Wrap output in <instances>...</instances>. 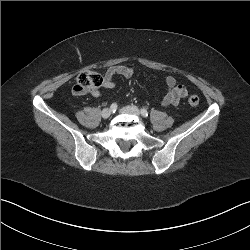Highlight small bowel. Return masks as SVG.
<instances>
[{
    "instance_id": "c3829d8e",
    "label": "small bowel",
    "mask_w": 250,
    "mask_h": 250,
    "mask_svg": "<svg viewBox=\"0 0 250 250\" xmlns=\"http://www.w3.org/2000/svg\"><path fill=\"white\" fill-rule=\"evenodd\" d=\"M134 74L133 68L126 65H114L107 69L104 74L102 87L105 89H112L115 87L114 77L123 76L125 78H131ZM165 84L168 87L167 93L161 99L160 104L162 106H177L180 101L188 95V90L184 85L178 84L177 80L173 76L165 78ZM94 97H100L101 92L94 90L91 92Z\"/></svg>"
}]
</instances>
